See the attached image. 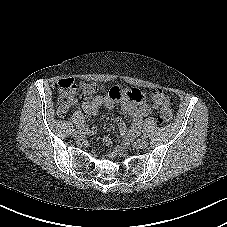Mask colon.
<instances>
[{
	"mask_svg": "<svg viewBox=\"0 0 227 227\" xmlns=\"http://www.w3.org/2000/svg\"><path fill=\"white\" fill-rule=\"evenodd\" d=\"M97 91L98 86L93 82H83L77 85L71 78L61 79L58 83L56 98V111L58 116L63 117L66 115L69 109L76 103L79 92L84 98L89 99ZM149 103L153 106L161 107L158 118L161 124H167L172 120L171 99L163 91H153L149 96Z\"/></svg>",
	"mask_w": 227,
	"mask_h": 227,
	"instance_id": "colon-1",
	"label": "colon"
}]
</instances>
